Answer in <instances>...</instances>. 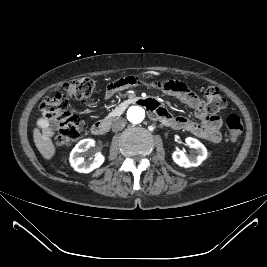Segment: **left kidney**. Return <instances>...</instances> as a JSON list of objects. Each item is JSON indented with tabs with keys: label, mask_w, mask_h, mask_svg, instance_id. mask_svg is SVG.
Wrapping results in <instances>:
<instances>
[{
	"label": "left kidney",
	"mask_w": 267,
	"mask_h": 267,
	"mask_svg": "<svg viewBox=\"0 0 267 267\" xmlns=\"http://www.w3.org/2000/svg\"><path fill=\"white\" fill-rule=\"evenodd\" d=\"M185 142L195 149V155L188 157L183 151H175L172 155L174 162L184 168L199 166L207 158L206 147L200 141L192 137H187Z\"/></svg>",
	"instance_id": "left-kidney-1"
}]
</instances>
